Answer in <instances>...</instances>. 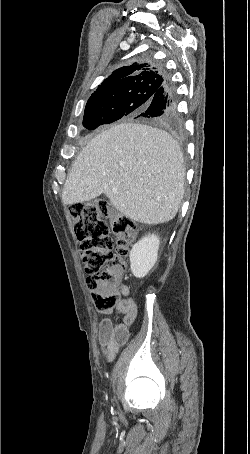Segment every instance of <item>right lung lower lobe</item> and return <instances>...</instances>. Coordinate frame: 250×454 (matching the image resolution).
Instances as JSON below:
<instances>
[{"instance_id": "1", "label": "right lung lower lobe", "mask_w": 250, "mask_h": 454, "mask_svg": "<svg viewBox=\"0 0 250 454\" xmlns=\"http://www.w3.org/2000/svg\"><path fill=\"white\" fill-rule=\"evenodd\" d=\"M177 104L175 88L167 78L163 88L154 94L148 108L141 114V117L156 119L162 125L177 126L179 123Z\"/></svg>"}]
</instances>
